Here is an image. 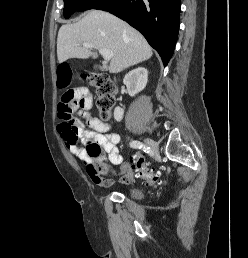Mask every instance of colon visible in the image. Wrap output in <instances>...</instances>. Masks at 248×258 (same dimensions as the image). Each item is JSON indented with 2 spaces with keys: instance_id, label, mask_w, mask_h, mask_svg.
<instances>
[{
  "instance_id": "1",
  "label": "colon",
  "mask_w": 248,
  "mask_h": 258,
  "mask_svg": "<svg viewBox=\"0 0 248 258\" xmlns=\"http://www.w3.org/2000/svg\"><path fill=\"white\" fill-rule=\"evenodd\" d=\"M59 69V85L65 89L62 102L58 106V116L60 118L59 128L66 132V139L76 143L77 130L74 126L73 112L75 109V93L76 88L69 86L71 76L70 68L62 63ZM89 84L94 88L97 95V107L101 119L107 120L110 117L112 107L114 105L113 93L115 85L110 78L103 74H93L87 77ZM133 155H129L128 173L138 175L145 185H154L159 183L160 175L158 172H149L148 163H145L141 151H133ZM102 155L100 144L95 139H89L86 145V160L88 162V173L95 180H102L100 175L104 172L102 166L98 164V160ZM146 171V172H145Z\"/></svg>"
}]
</instances>
